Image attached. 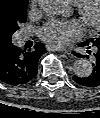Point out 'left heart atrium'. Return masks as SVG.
Returning <instances> with one entry per match:
<instances>
[{"label": "left heart atrium", "mask_w": 100, "mask_h": 118, "mask_svg": "<svg viewBox=\"0 0 100 118\" xmlns=\"http://www.w3.org/2000/svg\"><path fill=\"white\" fill-rule=\"evenodd\" d=\"M81 34L77 23L61 20H50L38 30L40 39L54 48H61L76 41Z\"/></svg>", "instance_id": "39dd6f15"}]
</instances>
